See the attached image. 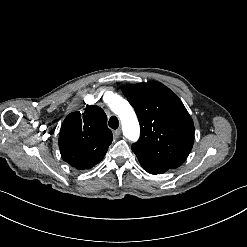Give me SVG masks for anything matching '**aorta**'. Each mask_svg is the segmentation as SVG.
<instances>
[{"instance_id":"aorta-1","label":"aorta","mask_w":247,"mask_h":247,"mask_svg":"<svg viewBox=\"0 0 247 247\" xmlns=\"http://www.w3.org/2000/svg\"><path fill=\"white\" fill-rule=\"evenodd\" d=\"M109 106L118 115L122 123L124 136L130 141H137L140 135L139 122L131 105L117 94H110Z\"/></svg>"}]
</instances>
